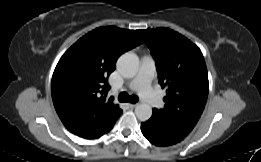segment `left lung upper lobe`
<instances>
[{
	"instance_id": "5c2ea615",
	"label": "left lung upper lobe",
	"mask_w": 261,
	"mask_h": 162,
	"mask_svg": "<svg viewBox=\"0 0 261 162\" xmlns=\"http://www.w3.org/2000/svg\"><path fill=\"white\" fill-rule=\"evenodd\" d=\"M156 60L158 80L166 88L164 119L193 129L207 101L209 82L201 50L168 28L138 30Z\"/></svg>"
}]
</instances>
